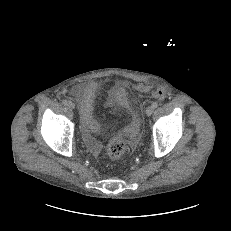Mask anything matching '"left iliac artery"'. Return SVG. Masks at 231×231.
<instances>
[{"label": "left iliac artery", "instance_id": "1", "mask_svg": "<svg viewBox=\"0 0 231 231\" xmlns=\"http://www.w3.org/2000/svg\"><path fill=\"white\" fill-rule=\"evenodd\" d=\"M152 107L155 109V108H157L158 107V102H153L152 103Z\"/></svg>", "mask_w": 231, "mask_h": 231}]
</instances>
